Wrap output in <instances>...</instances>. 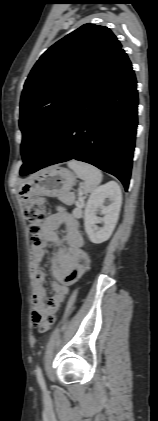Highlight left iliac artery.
Here are the masks:
<instances>
[{
	"label": "left iliac artery",
	"mask_w": 158,
	"mask_h": 421,
	"mask_svg": "<svg viewBox=\"0 0 158 421\" xmlns=\"http://www.w3.org/2000/svg\"><path fill=\"white\" fill-rule=\"evenodd\" d=\"M36 376H37V380H38L40 386L43 389H45V381H44V378H43V374H42L41 368L39 366L36 369Z\"/></svg>",
	"instance_id": "44dca946"
}]
</instances>
